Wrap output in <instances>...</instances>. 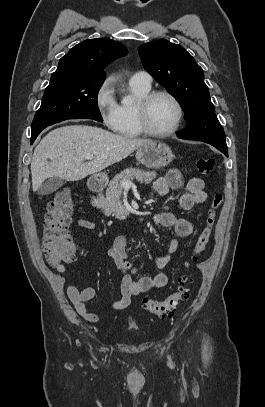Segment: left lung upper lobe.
<instances>
[{
  "instance_id": "obj_1",
  "label": "left lung upper lobe",
  "mask_w": 265,
  "mask_h": 407,
  "mask_svg": "<svg viewBox=\"0 0 265 407\" xmlns=\"http://www.w3.org/2000/svg\"><path fill=\"white\" fill-rule=\"evenodd\" d=\"M144 68L181 105L187 122L178 135L182 139H194L220 147L226 152L224 130L217 119L204 82L202 68L180 45L158 40L138 48Z\"/></svg>"
}]
</instances>
